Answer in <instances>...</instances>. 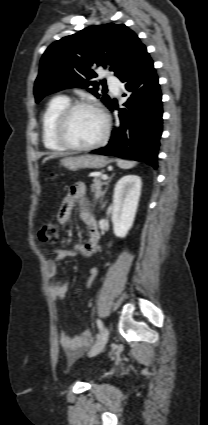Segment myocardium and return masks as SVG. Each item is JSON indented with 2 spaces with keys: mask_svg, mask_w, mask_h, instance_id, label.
I'll use <instances>...</instances> for the list:
<instances>
[{
  "mask_svg": "<svg viewBox=\"0 0 208 425\" xmlns=\"http://www.w3.org/2000/svg\"><path fill=\"white\" fill-rule=\"evenodd\" d=\"M78 109H90L96 111L102 118L104 123V129L100 138L89 145L80 146L72 143L68 136V126L70 123V119L75 111ZM110 118L108 114L102 109L99 105L88 102V101H75L69 103L59 114L56 125H55V139L56 141L65 149L76 152H86L93 149H96L102 145H104L109 137L110 133Z\"/></svg>",
  "mask_w": 208,
  "mask_h": 425,
  "instance_id": "myocardium-1",
  "label": "myocardium"
}]
</instances>
